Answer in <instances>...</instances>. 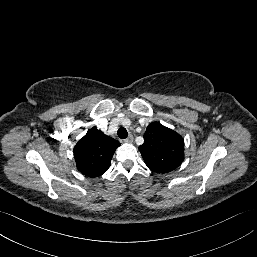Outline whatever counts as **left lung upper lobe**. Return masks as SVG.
Returning <instances> with one entry per match:
<instances>
[{"mask_svg": "<svg viewBox=\"0 0 257 257\" xmlns=\"http://www.w3.org/2000/svg\"><path fill=\"white\" fill-rule=\"evenodd\" d=\"M139 150L145 164L158 173L173 171L184 160L183 138L158 122L148 125Z\"/></svg>", "mask_w": 257, "mask_h": 257, "instance_id": "1", "label": "left lung upper lobe"}]
</instances>
